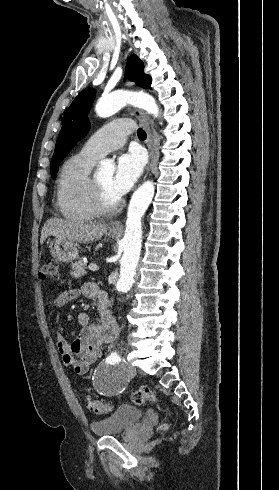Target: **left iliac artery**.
Wrapping results in <instances>:
<instances>
[{
	"instance_id": "1",
	"label": "left iliac artery",
	"mask_w": 279,
	"mask_h": 490,
	"mask_svg": "<svg viewBox=\"0 0 279 490\" xmlns=\"http://www.w3.org/2000/svg\"><path fill=\"white\" fill-rule=\"evenodd\" d=\"M119 361H121V359L116 352L111 353V355L107 358V362L109 363H118Z\"/></svg>"
}]
</instances>
